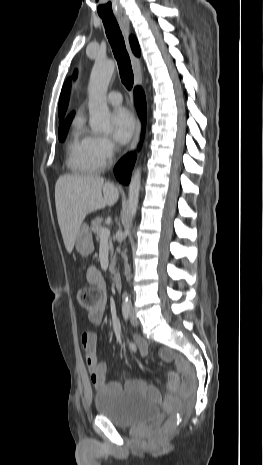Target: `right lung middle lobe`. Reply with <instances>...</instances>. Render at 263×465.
I'll list each match as a JSON object with an SVG mask.
<instances>
[{
    "mask_svg": "<svg viewBox=\"0 0 263 465\" xmlns=\"http://www.w3.org/2000/svg\"><path fill=\"white\" fill-rule=\"evenodd\" d=\"M73 117L64 120V121H59V130H58V136L60 140H64L66 137L67 130L71 124Z\"/></svg>",
    "mask_w": 263,
    "mask_h": 465,
    "instance_id": "right-lung-middle-lobe-1",
    "label": "right lung middle lobe"
}]
</instances>
